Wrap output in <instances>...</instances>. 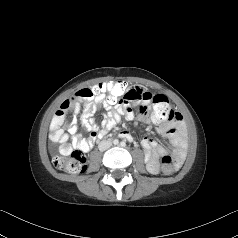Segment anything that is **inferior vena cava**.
<instances>
[{"mask_svg": "<svg viewBox=\"0 0 238 238\" xmlns=\"http://www.w3.org/2000/svg\"><path fill=\"white\" fill-rule=\"evenodd\" d=\"M111 145H112V143H111L110 141H108V140H103V141H101V142L99 143L98 148H99L100 151H105V150H107L108 148H110Z\"/></svg>", "mask_w": 238, "mask_h": 238, "instance_id": "602c4592", "label": "inferior vena cava"}]
</instances>
